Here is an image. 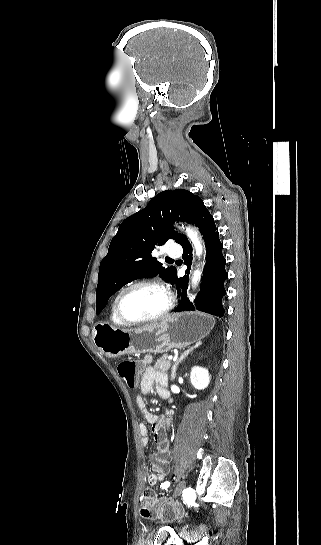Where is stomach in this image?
Listing matches in <instances>:
<instances>
[{"instance_id": "0dacf381", "label": "stomach", "mask_w": 321, "mask_h": 545, "mask_svg": "<svg viewBox=\"0 0 321 545\" xmlns=\"http://www.w3.org/2000/svg\"><path fill=\"white\" fill-rule=\"evenodd\" d=\"M215 319L203 313H175L164 321L139 327L115 329L109 323H96L92 331L95 347L108 357L138 355V353H167L197 343L213 329Z\"/></svg>"}]
</instances>
